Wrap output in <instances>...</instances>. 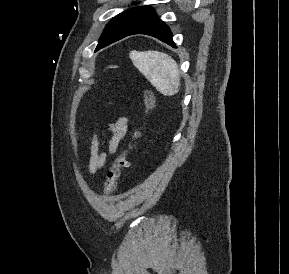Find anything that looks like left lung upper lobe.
Masks as SVG:
<instances>
[{
  "mask_svg": "<svg viewBox=\"0 0 289 274\" xmlns=\"http://www.w3.org/2000/svg\"><path fill=\"white\" fill-rule=\"evenodd\" d=\"M153 13L154 9L149 6H137L123 11L106 25L99 39L97 48L124 37L148 19Z\"/></svg>",
  "mask_w": 289,
  "mask_h": 274,
  "instance_id": "5c2ea615",
  "label": "left lung upper lobe"
}]
</instances>
